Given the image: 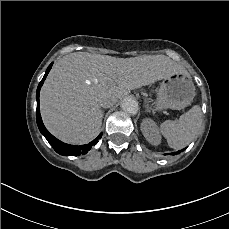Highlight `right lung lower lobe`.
Instances as JSON below:
<instances>
[{"instance_id": "1", "label": "right lung lower lobe", "mask_w": 229, "mask_h": 229, "mask_svg": "<svg viewBox=\"0 0 229 229\" xmlns=\"http://www.w3.org/2000/svg\"><path fill=\"white\" fill-rule=\"evenodd\" d=\"M52 65H53V63H51L48 66L46 73H45L43 79L41 80V82L39 83L38 88H37V92H36V100H37L36 121H37L38 128H39L40 132L42 133V135L47 139V141L53 147V149L57 153H59L60 155H64V156L84 155L91 149V147L93 145H95L98 142V139L101 138L102 133L95 140L90 142L89 144H85V145H81V146L69 145V144L61 142L60 140L55 138L52 134H50L42 122L40 110H39V93H40V89L43 85V82H44L46 76L48 75Z\"/></svg>"}]
</instances>
